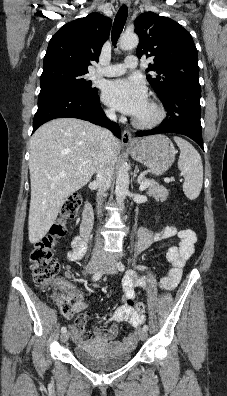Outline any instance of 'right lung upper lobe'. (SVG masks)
Listing matches in <instances>:
<instances>
[{
  "label": "right lung upper lobe",
  "instance_id": "cb5924a9",
  "mask_svg": "<svg viewBox=\"0 0 227 396\" xmlns=\"http://www.w3.org/2000/svg\"><path fill=\"white\" fill-rule=\"evenodd\" d=\"M110 27L111 19L97 12L65 24L49 42L43 71L52 68L88 71L90 61H98Z\"/></svg>",
  "mask_w": 227,
  "mask_h": 396
}]
</instances>
